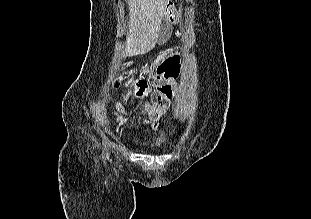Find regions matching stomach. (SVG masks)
I'll list each match as a JSON object with an SVG mask.
<instances>
[{"instance_id": "0dacf381", "label": "stomach", "mask_w": 311, "mask_h": 219, "mask_svg": "<svg viewBox=\"0 0 311 219\" xmlns=\"http://www.w3.org/2000/svg\"><path fill=\"white\" fill-rule=\"evenodd\" d=\"M177 17H178L177 15H172L170 13L166 15L167 20H175L177 19Z\"/></svg>"}]
</instances>
